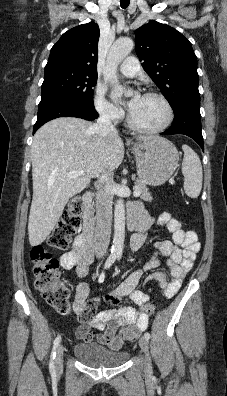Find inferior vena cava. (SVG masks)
Here are the masks:
<instances>
[{
    "instance_id": "602c4592",
    "label": "inferior vena cava",
    "mask_w": 227,
    "mask_h": 396,
    "mask_svg": "<svg viewBox=\"0 0 227 396\" xmlns=\"http://www.w3.org/2000/svg\"><path fill=\"white\" fill-rule=\"evenodd\" d=\"M95 130L103 137L109 133L117 132L110 117L105 113H101L97 119ZM113 183V171L103 172L98 180L94 251L99 256H103L107 252L110 243Z\"/></svg>"
}]
</instances>
